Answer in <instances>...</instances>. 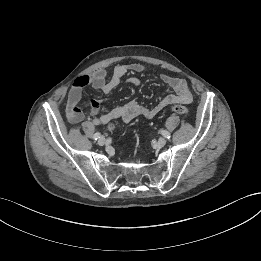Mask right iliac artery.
I'll list each match as a JSON object with an SVG mask.
<instances>
[{"mask_svg": "<svg viewBox=\"0 0 261 261\" xmlns=\"http://www.w3.org/2000/svg\"><path fill=\"white\" fill-rule=\"evenodd\" d=\"M99 138H100V133H98V132L95 133L94 136H93V139H94V140H97V139H99Z\"/></svg>", "mask_w": 261, "mask_h": 261, "instance_id": "82829eb1", "label": "right iliac artery"}]
</instances>
